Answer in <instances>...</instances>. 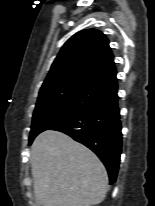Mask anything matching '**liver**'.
Returning <instances> with one entry per match:
<instances>
[{
  "mask_svg": "<svg viewBox=\"0 0 155 206\" xmlns=\"http://www.w3.org/2000/svg\"><path fill=\"white\" fill-rule=\"evenodd\" d=\"M30 160L38 206H92L105 199L108 175L104 165L64 133L47 130L39 134Z\"/></svg>",
  "mask_w": 155,
  "mask_h": 206,
  "instance_id": "obj_1",
  "label": "liver"
}]
</instances>
